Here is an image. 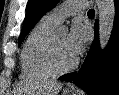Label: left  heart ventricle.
<instances>
[{"instance_id": "1", "label": "left heart ventricle", "mask_w": 119, "mask_h": 95, "mask_svg": "<svg viewBox=\"0 0 119 95\" xmlns=\"http://www.w3.org/2000/svg\"><path fill=\"white\" fill-rule=\"evenodd\" d=\"M67 36L65 32L55 34L56 58L61 66L69 65L75 60L68 50Z\"/></svg>"}]
</instances>
